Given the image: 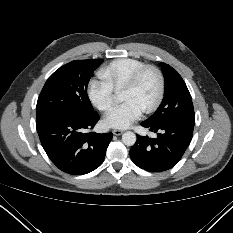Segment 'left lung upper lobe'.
<instances>
[{
    "instance_id": "1",
    "label": "left lung upper lobe",
    "mask_w": 233,
    "mask_h": 233,
    "mask_svg": "<svg viewBox=\"0 0 233 233\" xmlns=\"http://www.w3.org/2000/svg\"><path fill=\"white\" fill-rule=\"evenodd\" d=\"M161 68L165 78L164 99L157 111L146 121L153 125L178 121L195 123L191 95L184 80L168 64L162 62Z\"/></svg>"
}]
</instances>
